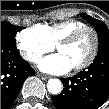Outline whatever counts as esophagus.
<instances>
[{"instance_id":"34e87169","label":"esophagus","mask_w":109,"mask_h":109,"mask_svg":"<svg viewBox=\"0 0 109 109\" xmlns=\"http://www.w3.org/2000/svg\"><path fill=\"white\" fill-rule=\"evenodd\" d=\"M37 75H38L41 79H43V80H48V79H50L49 76L44 75V74H41V73H38Z\"/></svg>"}]
</instances>
